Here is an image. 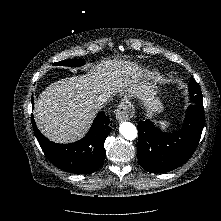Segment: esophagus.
<instances>
[{
    "label": "esophagus",
    "mask_w": 221,
    "mask_h": 221,
    "mask_svg": "<svg viewBox=\"0 0 221 221\" xmlns=\"http://www.w3.org/2000/svg\"><path fill=\"white\" fill-rule=\"evenodd\" d=\"M134 115V108L127 99H123L116 109V119L119 122L128 120Z\"/></svg>",
    "instance_id": "obj_1"
}]
</instances>
